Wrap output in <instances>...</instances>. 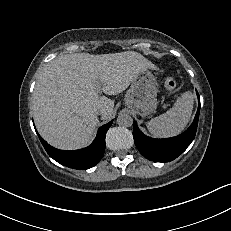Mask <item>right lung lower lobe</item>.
Returning a JSON list of instances; mask_svg holds the SVG:
<instances>
[{"instance_id": "98d812e1", "label": "right lung lower lobe", "mask_w": 231, "mask_h": 231, "mask_svg": "<svg viewBox=\"0 0 231 231\" xmlns=\"http://www.w3.org/2000/svg\"><path fill=\"white\" fill-rule=\"evenodd\" d=\"M112 121L98 129L97 136L92 144L86 148L74 151L58 150L44 141H40L51 158L69 168L86 170L95 166L102 158L105 151V136Z\"/></svg>"}]
</instances>
